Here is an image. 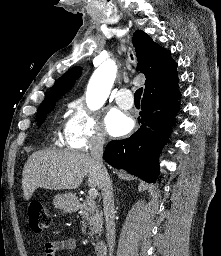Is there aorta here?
<instances>
[{"label": "aorta", "mask_w": 221, "mask_h": 256, "mask_svg": "<svg viewBox=\"0 0 221 256\" xmlns=\"http://www.w3.org/2000/svg\"><path fill=\"white\" fill-rule=\"evenodd\" d=\"M116 72V65L111 61L105 62L95 70L86 93V103L90 109L97 110L105 103L115 81Z\"/></svg>", "instance_id": "aorta-1"}]
</instances>
